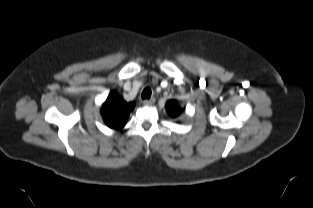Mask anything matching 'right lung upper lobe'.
<instances>
[{
  "label": "right lung upper lobe",
  "instance_id": "1",
  "mask_svg": "<svg viewBox=\"0 0 313 208\" xmlns=\"http://www.w3.org/2000/svg\"><path fill=\"white\" fill-rule=\"evenodd\" d=\"M134 107V102H126L113 91L103 103L101 115L108 127L120 130L125 126L127 118Z\"/></svg>",
  "mask_w": 313,
  "mask_h": 208
}]
</instances>
